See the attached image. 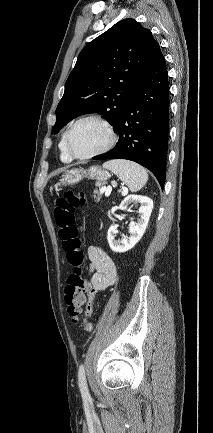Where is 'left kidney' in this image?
I'll return each instance as SVG.
<instances>
[{
  "mask_svg": "<svg viewBox=\"0 0 213 433\" xmlns=\"http://www.w3.org/2000/svg\"><path fill=\"white\" fill-rule=\"evenodd\" d=\"M131 202L140 203V208H139L140 219L137 222L131 221L129 224L130 236L128 238L124 236L122 240H118V241L115 239L117 228L114 225L110 226L107 233V240L110 248L114 252L123 253L133 248L142 238L147 228L151 216V212L153 209L152 199H150L147 196L128 195L121 202L119 209L126 210L128 204H130Z\"/></svg>",
  "mask_w": 213,
  "mask_h": 433,
  "instance_id": "5707ae66",
  "label": "left kidney"
}]
</instances>
